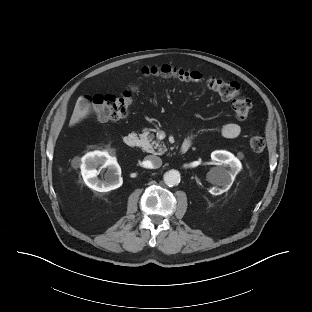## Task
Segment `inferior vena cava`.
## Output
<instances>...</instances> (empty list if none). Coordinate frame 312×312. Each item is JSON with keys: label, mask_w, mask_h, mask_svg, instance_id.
<instances>
[{"label": "inferior vena cava", "mask_w": 312, "mask_h": 312, "mask_svg": "<svg viewBox=\"0 0 312 312\" xmlns=\"http://www.w3.org/2000/svg\"><path fill=\"white\" fill-rule=\"evenodd\" d=\"M146 163L149 168L157 169L162 165V160L158 156L149 155L146 157Z\"/></svg>", "instance_id": "inferior-vena-cava-1"}]
</instances>
